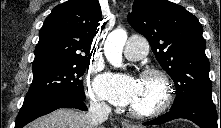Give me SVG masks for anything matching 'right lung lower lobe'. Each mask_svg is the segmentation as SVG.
Returning <instances> with one entry per match:
<instances>
[{"instance_id": "1", "label": "right lung lower lobe", "mask_w": 221, "mask_h": 128, "mask_svg": "<svg viewBox=\"0 0 221 128\" xmlns=\"http://www.w3.org/2000/svg\"><path fill=\"white\" fill-rule=\"evenodd\" d=\"M84 100L67 93H56L24 102L17 116L15 128H22L34 119L59 108H76L87 111Z\"/></svg>"}]
</instances>
